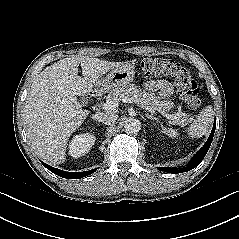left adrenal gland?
Segmentation results:
<instances>
[{
	"mask_svg": "<svg viewBox=\"0 0 239 239\" xmlns=\"http://www.w3.org/2000/svg\"><path fill=\"white\" fill-rule=\"evenodd\" d=\"M146 115V117L148 118V119H150L151 121H155L156 123H160V121L158 120V118H156V117H154L153 115H149L148 113H146L145 114ZM153 124H155V123H153Z\"/></svg>",
	"mask_w": 239,
	"mask_h": 239,
	"instance_id": "left-adrenal-gland-1",
	"label": "left adrenal gland"
}]
</instances>
